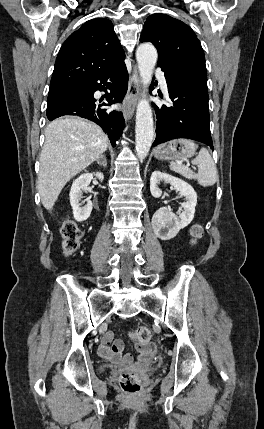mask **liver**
Masks as SVG:
<instances>
[{
  "instance_id": "1",
  "label": "liver",
  "mask_w": 264,
  "mask_h": 429,
  "mask_svg": "<svg viewBox=\"0 0 264 429\" xmlns=\"http://www.w3.org/2000/svg\"><path fill=\"white\" fill-rule=\"evenodd\" d=\"M108 145L103 130L82 118L63 117L48 124L37 180L41 202L48 211L66 183L99 159Z\"/></svg>"
}]
</instances>
